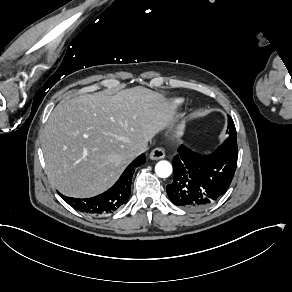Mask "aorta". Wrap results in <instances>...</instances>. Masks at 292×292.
Here are the masks:
<instances>
[{
  "label": "aorta",
  "mask_w": 292,
  "mask_h": 292,
  "mask_svg": "<svg viewBox=\"0 0 292 292\" xmlns=\"http://www.w3.org/2000/svg\"><path fill=\"white\" fill-rule=\"evenodd\" d=\"M155 172L160 178H167L172 173V166L167 161H160L155 166Z\"/></svg>",
  "instance_id": "1"
}]
</instances>
